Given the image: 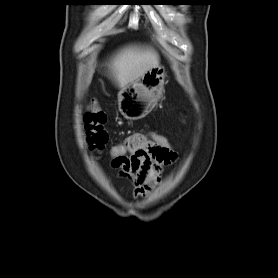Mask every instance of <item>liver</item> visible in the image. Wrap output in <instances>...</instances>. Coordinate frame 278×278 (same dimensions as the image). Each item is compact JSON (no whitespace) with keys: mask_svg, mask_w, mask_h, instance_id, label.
I'll return each mask as SVG.
<instances>
[{"mask_svg":"<svg viewBox=\"0 0 278 278\" xmlns=\"http://www.w3.org/2000/svg\"><path fill=\"white\" fill-rule=\"evenodd\" d=\"M157 65L159 55L152 47L131 45L118 51L107 67L110 78L119 88H123ZM91 77L90 75L88 82Z\"/></svg>","mask_w":278,"mask_h":278,"instance_id":"6515ba94","label":"liver"}]
</instances>
